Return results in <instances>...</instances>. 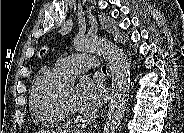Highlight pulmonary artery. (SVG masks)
Masks as SVG:
<instances>
[{"label": "pulmonary artery", "mask_w": 184, "mask_h": 133, "mask_svg": "<svg viewBox=\"0 0 184 133\" xmlns=\"http://www.w3.org/2000/svg\"><path fill=\"white\" fill-rule=\"evenodd\" d=\"M56 68L61 74L81 73L89 68L98 69L95 56L89 54H74L60 59L56 63Z\"/></svg>", "instance_id": "pulmonary-artery-1"}]
</instances>
